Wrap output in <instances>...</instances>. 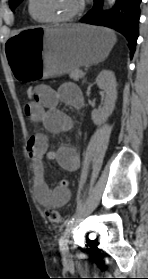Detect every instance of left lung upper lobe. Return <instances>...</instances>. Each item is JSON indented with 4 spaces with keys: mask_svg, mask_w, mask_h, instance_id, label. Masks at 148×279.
I'll list each match as a JSON object with an SVG mask.
<instances>
[{
    "mask_svg": "<svg viewBox=\"0 0 148 279\" xmlns=\"http://www.w3.org/2000/svg\"><path fill=\"white\" fill-rule=\"evenodd\" d=\"M23 0H10L9 5L12 10L16 8Z\"/></svg>",
    "mask_w": 148,
    "mask_h": 279,
    "instance_id": "left-lung-upper-lobe-1",
    "label": "left lung upper lobe"
}]
</instances>
